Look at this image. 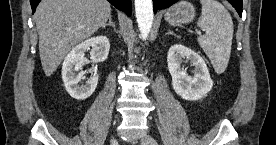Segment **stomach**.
<instances>
[{"mask_svg":"<svg viewBox=\"0 0 276 145\" xmlns=\"http://www.w3.org/2000/svg\"><path fill=\"white\" fill-rule=\"evenodd\" d=\"M195 17L194 6L188 1H180L173 5L165 14V20L171 25L191 22Z\"/></svg>","mask_w":276,"mask_h":145,"instance_id":"stomach-1","label":"stomach"}]
</instances>
